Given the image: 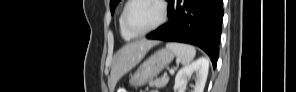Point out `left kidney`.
I'll use <instances>...</instances> for the list:
<instances>
[{"label": "left kidney", "mask_w": 296, "mask_h": 92, "mask_svg": "<svg viewBox=\"0 0 296 92\" xmlns=\"http://www.w3.org/2000/svg\"><path fill=\"white\" fill-rule=\"evenodd\" d=\"M209 61L202 57L192 62L189 65L181 68L175 77V90L182 89L186 84L188 78L196 73L195 86L192 92H203L208 76Z\"/></svg>", "instance_id": "left-kidney-1"}]
</instances>
